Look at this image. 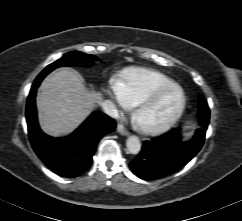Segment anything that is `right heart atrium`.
<instances>
[{
	"label": "right heart atrium",
	"mask_w": 242,
	"mask_h": 221,
	"mask_svg": "<svg viewBox=\"0 0 242 221\" xmlns=\"http://www.w3.org/2000/svg\"><path fill=\"white\" fill-rule=\"evenodd\" d=\"M112 96L116 102V104L122 108V109H128L129 108V104L127 103V101L123 98V96L120 94V92L117 90L116 86L114 85L112 87Z\"/></svg>",
	"instance_id": "d8ad5b80"
}]
</instances>
